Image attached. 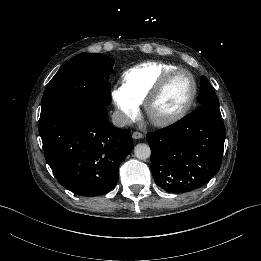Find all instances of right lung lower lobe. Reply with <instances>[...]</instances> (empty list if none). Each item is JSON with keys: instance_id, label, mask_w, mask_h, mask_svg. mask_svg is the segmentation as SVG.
I'll use <instances>...</instances> for the list:
<instances>
[{"instance_id": "right-lung-lower-lobe-1", "label": "right lung lower lobe", "mask_w": 261, "mask_h": 261, "mask_svg": "<svg viewBox=\"0 0 261 261\" xmlns=\"http://www.w3.org/2000/svg\"><path fill=\"white\" fill-rule=\"evenodd\" d=\"M39 133L58 182L80 196L112 190L120 163L133 149L129 130L112 126L99 104L49 111L40 116Z\"/></svg>"}]
</instances>
